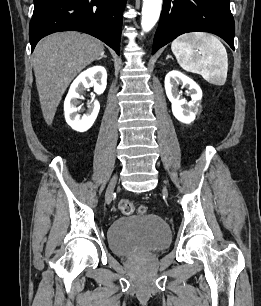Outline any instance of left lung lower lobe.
Wrapping results in <instances>:
<instances>
[{
    "instance_id": "0a47b994",
    "label": "left lung lower lobe",
    "mask_w": 261,
    "mask_h": 306,
    "mask_svg": "<svg viewBox=\"0 0 261 306\" xmlns=\"http://www.w3.org/2000/svg\"><path fill=\"white\" fill-rule=\"evenodd\" d=\"M194 31L216 34L234 50L235 23L229 0H164L153 51Z\"/></svg>"
}]
</instances>
